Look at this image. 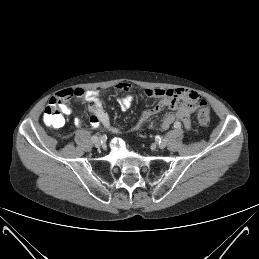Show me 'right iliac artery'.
Returning a JSON list of instances; mask_svg holds the SVG:
<instances>
[{"label":"right iliac artery","mask_w":259,"mask_h":259,"mask_svg":"<svg viewBox=\"0 0 259 259\" xmlns=\"http://www.w3.org/2000/svg\"><path fill=\"white\" fill-rule=\"evenodd\" d=\"M91 139H92V141L94 142V141H96V140L98 139V137L95 136V135H93V136L91 137Z\"/></svg>","instance_id":"82829eb1"}]
</instances>
